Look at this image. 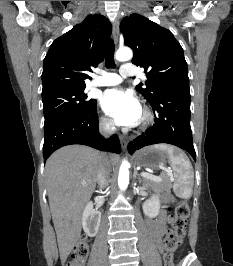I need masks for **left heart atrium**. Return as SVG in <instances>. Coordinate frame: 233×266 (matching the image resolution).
I'll return each instance as SVG.
<instances>
[{"label": "left heart atrium", "mask_w": 233, "mask_h": 266, "mask_svg": "<svg viewBox=\"0 0 233 266\" xmlns=\"http://www.w3.org/2000/svg\"><path fill=\"white\" fill-rule=\"evenodd\" d=\"M104 112L117 124L135 126L142 116V108L137 97L129 90L110 89L101 98Z\"/></svg>", "instance_id": "1"}]
</instances>
